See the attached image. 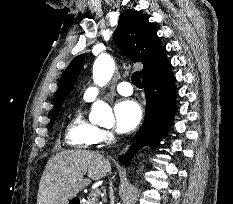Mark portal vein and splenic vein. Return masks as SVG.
<instances>
[{
	"instance_id": "obj_1",
	"label": "portal vein and splenic vein",
	"mask_w": 233,
	"mask_h": 204,
	"mask_svg": "<svg viewBox=\"0 0 233 204\" xmlns=\"http://www.w3.org/2000/svg\"><path fill=\"white\" fill-rule=\"evenodd\" d=\"M100 193H101V191L99 189H94V191L92 192L91 195L94 196V197H97V196L100 195Z\"/></svg>"
}]
</instances>
